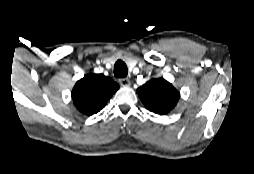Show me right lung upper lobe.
<instances>
[{
    "mask_svg": "<svg viewBox=\"0 0 254 174\" xmlns=\"http://www.w3.org/2000/svg\"><path fill=\"white\" fill-rule=\"evenodd\" d=\"M119 89L110 77L103 74H87L77 81L72 90V99L76 108L85 115L99 112Z\"/></svg>",
    "mask_w": 254,
    "mask_h": 174,
    "instance_id": "right-lung-upper-lobe-1",
    "label": "right lung upper lobe"
}]
</instances>
